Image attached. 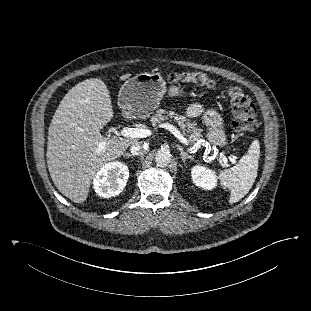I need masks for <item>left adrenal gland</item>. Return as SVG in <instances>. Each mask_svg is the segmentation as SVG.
<instances>
[{"mask_svg": "<svg viewBox=\"0 0 311 311\" xmlns=\"http://www.w3.org/2000/svg\"><path fill=\"white\" fill-rule=\"evenodd\" d=\"M177 148L179 149L180 151V154H181V158H182V161L185 163L187 159L189 160H193L192 156L189 155L186 151L183 150V148L180 146V145H177Z\"/></svg>", "mask_w": 311, "mask_h": 311, "instance_id": "left-adrenal-gland-1", "label": "left adrenal gland"}]
</instances>
